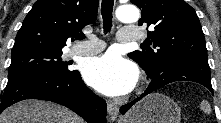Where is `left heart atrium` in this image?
Wrapping results in <instances>:
<instances>
[{
    "mask_svg": "<svg viewBox=\"0 0 221 123\" xmlns=\"http://www.w3.org/2000/svg\"><path fill=\"white\" fill-rule=\"evenodd\" d=\"M83 78L99 92L116 96L129 92L137 80L136 67L115 52L87 60Z\"/></svg>",
    "mask_w": 221,
    "mask_h": 123,
    "instance_id": "39dd6f15",
    "label": "left heart atrium"
}]
</instances>
